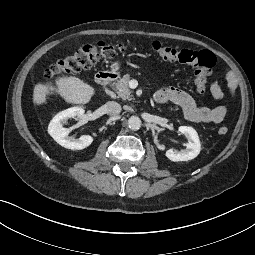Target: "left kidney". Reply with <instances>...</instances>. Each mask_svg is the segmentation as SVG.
Masks as SVG:
<instances>
[{"label": "left kidney", "instance_id": "1", "mask_svg": "<svg viewBox=\"0 0 255 255\" xmlns=\"http://www.w3.org/2000/svg\"><path fill=\"white\" fill-rule=\"evenodd\" d=\"M178 130L188 139L186 149L180 151L169 149L166 151V157L174 162L196 158L201 151V143L196 130L189 126H180Z\"/></svg>", "mask_w": 255, "mask_h": 255}]
</instances>
